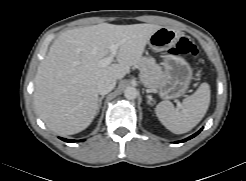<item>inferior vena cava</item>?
Here are the masks:
<instances>
[{
	"label": "inferior vena cava",
	"instance_id": "obj_1",
	"mask_svg": "<svg viewBox=\"0 0 246 181\" xmlns=\"http://www.w3.org/2000/svg\"><path fill=\"white\" fill-rule=\"evenodd\" d=\"M116 85V79L112 77H102L97 82V91L101 95H105L109 92H111Z\"/></svg>",
	"mask_w": 246,
	"mask_h": 181
}]
</instances>
